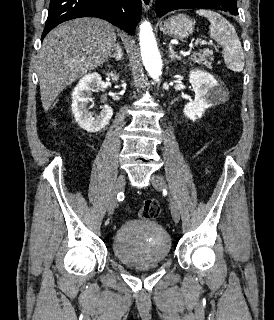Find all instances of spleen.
<instances>
[{"label":"spleen","instance_id":"obj_1","mask_svg":"<svg viewBox=\"0 0 274 320\" xmlns=\"http://www.w3.org/2000/svg\"><path fill=\"white\" fill-rule=\"evenodd\" d=\"M196 14L209 20L210 38L223 46L226 68L232 70V72H242L245 64L244 54L234 26L227 22L221 14L211 12V10H196Z\"/></svg>","mask_w":274,"mask_h":320}]
</instances>
